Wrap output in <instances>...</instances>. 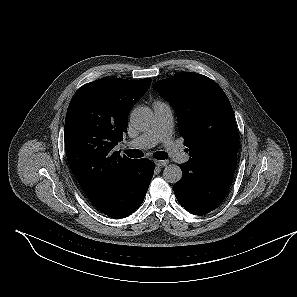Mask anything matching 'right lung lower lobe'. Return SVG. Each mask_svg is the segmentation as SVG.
I'll use <instances>...</instances> for the list:
<instances>
[{
  "label": "right lung lower lobe",
  "instance_id": "98d812e1",
  "mask_svg": "<svg viewBox=\"0 0 297 297\" xmlns=\"http://www.w3.org/2000/svg\"><path fill=\"white\" fill-rule=\"evenodd\" d=\"M153 173L152 161L146 158L136 160L132 171L113 194L111 200L99 210L115 219L132 214L142 204Z\"/></svg>",
  "mask_w": 297,
  "mask_h": 297
}]
</instances>
